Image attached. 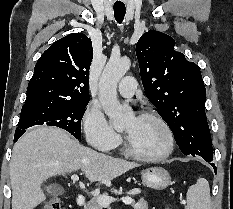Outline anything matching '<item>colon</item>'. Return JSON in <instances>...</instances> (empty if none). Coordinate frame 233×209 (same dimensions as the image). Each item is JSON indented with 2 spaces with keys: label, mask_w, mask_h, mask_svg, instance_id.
Masks as SVG:
<instances>
[{
  "label": "colon",
  "mask_w": 233,
  "mask_h": 209,
  "mask_svg": "<svg viewBox=\"0 0 233 209\" xmlns=\"http://www.w3.org/2000/svg\"><path fill=\"white\" fill-rule=\"evenodd\" d=\"M43 209H61V201L59 199H51L44 204Z\"/></svg>",
  "instance_id": "colon-1"
}]
</instances>
